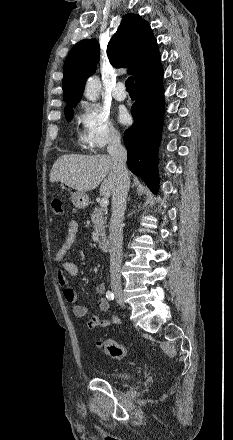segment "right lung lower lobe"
Returning a JSON list of instances; mask_svg holds the SVG:
<instances>
[{"label":"right lung lower lobe","mask_w":233,"mask_h":440,"mask_svg":"<svg viewBox=\"0 0 233 440\" xmlns=\"http://www.w3.org/2000/svg\"><path fill=\"white\" fill-rule=\"evenodd\" d=\"M163 69L135 84V103L131 108L133 126L124 132L128 167L156 193L158 190L157 150L161 139L164 98Z\"/></svg>","instance_id":"98d812e1"}]
</instances>
